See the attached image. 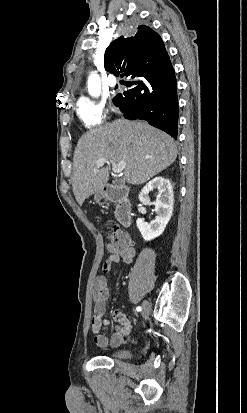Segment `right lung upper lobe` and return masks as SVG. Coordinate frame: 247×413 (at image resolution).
Wrapping results in <instances>:
<instances>
[{
	"instance_id": "1",
	"label": "right lung upper lobe",
	"mask_w": 247,
	"mask_h": 413,
	"mask_svg": "<svg viewBox=\"0 0 247 413\" xmlns=\"http://www.w3.org/2000/svg\"><path fill=\"white\" fill-rule=\"evenodd\" d=\"M167 61L169 56L160 35L145 25L138 26L134 36H121L111 42L104 56L108 72L125 76L145 74Z\"/></svg>"
}]
</instances>
